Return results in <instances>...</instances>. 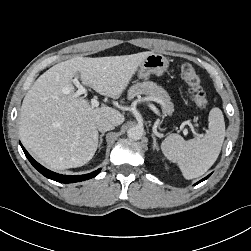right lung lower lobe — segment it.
<instances>
[{
  "mask_svg": "<svg viewBox=\"0 0 251 251\" xmlns=\"http://www.w3.org/2000/svg\"><path fill=\"white\" fill-rule=\"evenodd\" d=\"M26 157L28 158V160L31 162V164L45 177L52 179L54 181L60 182V183H74V182H80V181H84L90 178L95 177L96 175L99 174V172L101 171V169H98L94 172H91L89 174H84V175H62V174H58L55 172H52L48 169H46L45 167H43L42 165H40L38 162H36L30 155L29 153L26 151V149L22 146V144L20 143Z\"/></svg>",
  "mask_w": 251,
  "mask_h": 251,
  "instance_id": "right-lung-lower-lobe-1",
  "label": "right lung lower lobe"
}]
</instances>
